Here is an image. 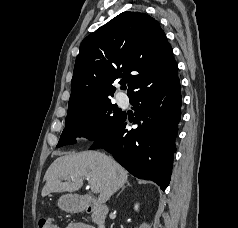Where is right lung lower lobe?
Segmentation results:
<instances>
[{
    "label": "right lung lower lobe",
    "mask_w": 238,
    "mask_h": 228,
    "mask_svg": "<svg viewBox=\"0 0 238 228\" xmlns=\"http://www.w3.org/2000/svg\"><path fill=\"white\" fill-rule=\"evenodd\" d=\"M130 102L136 106L134 123L138 128L128 130L129 122L123 115L90 149L105 148L132 175L152 180L165 190L171 178L174 139L181 117L178 76L138 91Z\"/></svg>",
    "instance_id": "98d812e1"
}]
</instances>
